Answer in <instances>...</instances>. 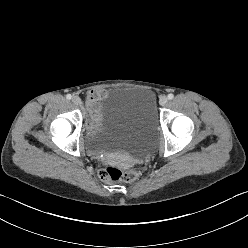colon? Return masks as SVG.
I'll use <instances>...</instances> for the list:
<instances>
[{"mask_svg": "<svg viewBox=\"0 0 248 248\" xmlns=\"http://www.w3.org/2000/svg\"><path fill=\"white\" fill-rule=\"evenodd\" d=\"M141 173V167L137 166L131 169L123 170L115 166L103 168L99 176L104 181H123L130 182L135 180Z\"/></svg>", "mask_w": 248, "mask_h": 248, "instance_id": "colon-1", "label": "colon"}]
</instances>
